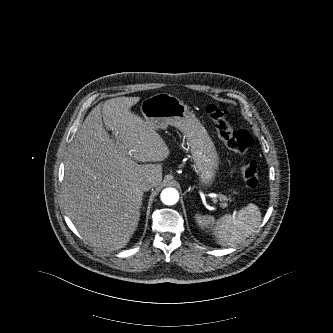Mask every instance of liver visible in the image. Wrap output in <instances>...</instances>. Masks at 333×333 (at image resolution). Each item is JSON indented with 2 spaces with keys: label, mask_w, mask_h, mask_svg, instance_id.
Returning <instances> with one entry per match:
<instances>
[{
  "label": "liver",
  "mask_w": 333,
  "mask_h": 333,
  "mask_svg": "<svg viewBox=\"0 0 333 333\" xmlns=\"http://www.w3.org/2000/svg\"><path fill=\"white\" fill-rule=\"evenodd\" d=\"M139 100L117 97L93 108L65 162L67 214L87 240L108 251L125 247L135 232L143 183L152 178L155 187L162 180L161 165L137 162H161L170 154L154 124L130 110Z\"/></svg>",
  "instance_id": "6515ba94"
}]
</instances>
